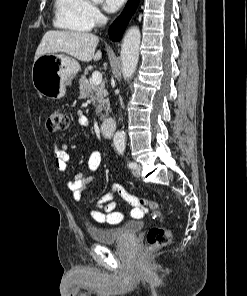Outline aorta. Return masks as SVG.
<instances>
[{
	"instance_id": "obj_1",
	"label": "aorta",
	"mask_w": 247,
	"mask_h": 296,
	"mask_svg": "<svg viewBox=\"0 0 247 296\" xmlns=\"http://www.w3.org/2000/svg\"><path fill=\"white\" fill-rule=\"evenodd\" d=\"M103 0H92L94 3H100ZM141 34L138 27H131L126 33L121 46L122 72L125 80L132 78L136 71L139 60V46ZM113 144L116 149L123 150L125 148V133L118 131L113 138Z\"/></svg>"
}]
</instances>
